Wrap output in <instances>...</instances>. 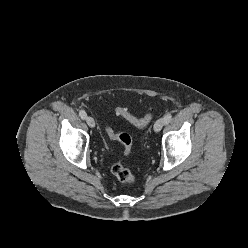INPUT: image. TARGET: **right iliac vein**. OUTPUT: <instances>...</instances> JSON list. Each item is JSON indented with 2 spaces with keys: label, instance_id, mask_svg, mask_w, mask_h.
Returning <instances> with one entry per match:
<instances>
[{
  "label": "right iliac vein",
  "instance_id": "63e3f726",
  "mask_svg": "<svg viewBox=\"0 0 248 248\" xmlns=\"http://www.w3.org/2000/svg\"><path fill=\"white\" fill-rule=\"evenodd\" d=\"M86 123L91 128H94L95 127V120L92 117H90V116L86 117Z\"/></svg>",
  "mask_w": 248,
  "mask_h": 248
}]
</instances>
